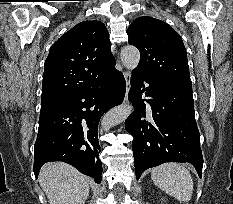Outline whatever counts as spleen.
I'll return each mask as SVG.
<instances>
[{"label": "spleen", "mask_w": 233, "mask_h": 204, "mask_svg": "<svg viewBox=\"0 0 233 204\" xmlns=\"http://www.w3.org/2000/svg\"><path fill=\"white\" fill-rule=\"evenodd\" d=\"M154 184L180 202L190 201L193 179L187 168L178 163H165L152 170Z\"/></svg>", "instance_id": "3e777b00"}]
</instances>
